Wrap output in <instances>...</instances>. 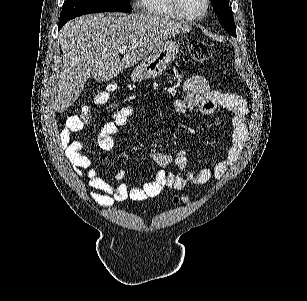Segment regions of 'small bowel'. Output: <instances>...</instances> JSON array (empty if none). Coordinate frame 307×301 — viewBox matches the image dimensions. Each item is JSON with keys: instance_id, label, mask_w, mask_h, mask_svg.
I'll return each mask as SVG.
<instances>
[{"instance_id": "1", "label": "small bowel", "mask_w": 307, "mask_h": 301, "mask_svg": "<svg viewBox=\"0 0 307 301\" xmlns=\"http://www.w3.org/2000/svg\"><path fill=\"white\" fill-rule=\"evenodd\" d=\"M185 96L174 104L179 114L194 108L203 113H211L216 107H222L231 112L232 136L230 146L226 149L224 158L214 168H204L197 173L186 170V152L180 150L175 158L165 153H154L152 159L162 168L174 163L184 175L158 170L152 180L138 187L125 184L123 172L113 177V181L98 175L91 159L83 153V144L74 140L75 133L82 129L78 117H69L60 133V144L76 171H85L88 185L91 188L90 198L98 205L109 208L116 202L126 199L143 201L159 195L164 188L181 190L187 185H203L211 179L219 180L240 157L247 139V118L249 114L246 101L235 94L223 93L210 88L208 81L202 76H192L184 83ZM134 108L123 106L102 127L97 137L98 146L102 150H111L115 144V135L134 115Z\"/></svg>"}]
</instances>
